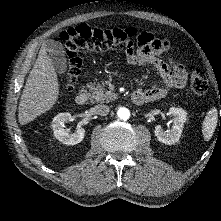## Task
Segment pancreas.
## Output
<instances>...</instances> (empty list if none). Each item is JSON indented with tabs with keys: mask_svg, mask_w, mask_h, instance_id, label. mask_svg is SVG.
Returning a JSON list of instances; mask_svg holds the SVG:
<instances>
[{
	"mask_svg": "<svg viewBox=\"0 0 221 221\" xmlns=\"http://www.w3.org/2000/svg\"><path fill=\"white\" fill-rule=\"evenodd\" d=\"M87 87L90 92L89 98L92 103H108L110 100L116 98V94H114L112 91L106 90L104 84L89 83L87 84Z\"/></svg>",
	"mask_w": 221,
	"mask_h": 221,
	"instance_id": "obj_1",
	"label": "pancreas"
}]
</instances>
